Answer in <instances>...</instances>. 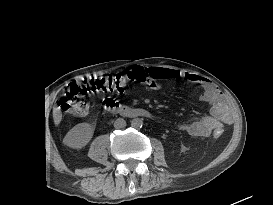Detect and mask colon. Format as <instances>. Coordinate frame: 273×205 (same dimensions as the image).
I'll use <instances>...</instances> for the list:
<instances>
[{
  "mask_svg": "<svg viewBox=\"0 0 273 205\" xmlns=\"http://www.w3.org/2000/svg\"><path fill=\"white\" fill-rule=\"evenodd\" d=\"M153 81H161L157 76H151L147 68H134L126 74H111L97 76L91 78L80 87L71 90L70 95L58 101L61 110L69 114H83L87 110V104L80 100V94L83 92L95 91H117L123 92L126 86L131 82L144 83ZM223 131L217 129L214 131L215 137H221Z\"/></svg>",
  "mask_w": 273,
  "mask_h": 205,
  "instance_id": "obj_1",
  "label": "colon"
}]
</instances>
